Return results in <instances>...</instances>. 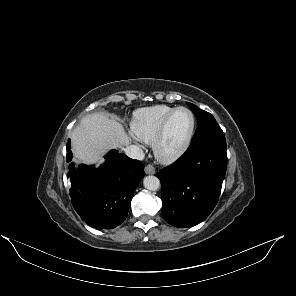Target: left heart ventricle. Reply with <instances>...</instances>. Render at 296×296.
<instances>
[{"label":"left heart ventricle","mask_w":296,"mask_h":296,"mask_svg":"<svg viewBox=\"0 0 296 296\" xmlns=\"http://www.w3.org/2000/svg\"><path fill=\"white\" fill-rule=\"evenodd\" d=\"M192 124L191 115L187 111H179L171 120L161 145L163 153L176 151L185 141Z\"/></svg>","instance_id":"b2bd125f"}]
</instances>
